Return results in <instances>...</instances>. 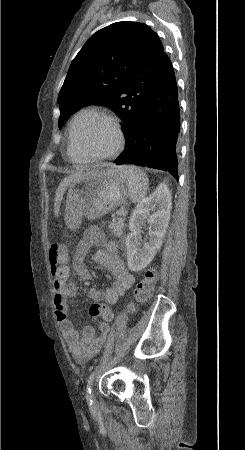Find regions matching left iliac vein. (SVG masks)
<instances>
[{
	"label": "left iliac vein",
	"instance_id": "left-iliac-vein-1",
	"mask_svg": "<svg viewBox=\"0 0 245 450\" xmlns=\"http://www.w3.org/2000/svg\"><path fill=\"white\" fill-rule=\"evenodd\" d=\"M91 396H92V399L94 400V394L93 393L91 394Z\"/></svg>",
	"mask_w": 245,
	"mask_h": 450
}]
</instances>
